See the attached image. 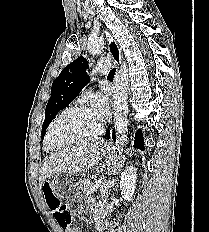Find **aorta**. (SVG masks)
I'll return each instance as SVG.
<instances>
[{
    "instance_id": "1",
    "label": "aorta",
    "mask_w": 209,
    "mask_h": 232,
    "mask_svg": "<svg viewBox=\"0 0 209 232\" xmlns=\"http://www.w3.org/2000/svg\"><path fill=\"white\" fill-rule=\"evenodd\" d=\"M105 47V41L103 37L92 38L88 41V51L91 54H99ZM128 86L129 75L128 68L124 63L121 65L118 73L115 75L113 82V98H114V115H115V129L116 140L118 145L119 155L123 152V147L128 140ZM119 157V156H118Z\"/></svg>"
}]
</instances>
